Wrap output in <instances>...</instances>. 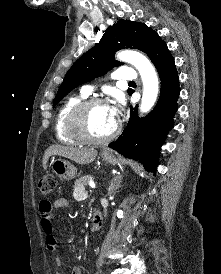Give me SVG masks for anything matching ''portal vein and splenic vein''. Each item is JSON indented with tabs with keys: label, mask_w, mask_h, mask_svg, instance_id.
Segmentation results:
<instances>
[{
	"label": "portal vein and splenic vein",
	"mask_w": 221,
	"mask_h": 274,
	"mask_svg": "<svg viewBox=\"0 0 221 274\" xmlns=\"http://www.w3.org/2000/svg\"><path fill=\"white\" fill-rule=\"evenodd\" d=\"M87 194H88V192L87 191H83L82 193H81V199H85L86 197H87Z\"/></svg>",
	"instance_id": "obj_1"
}]
</instances>
